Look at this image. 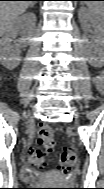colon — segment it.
Masks as SVG:
<instances>
[{
    "label": "colon",
    "mask_w": 104,
    "mask_h": 189,
    "mask_svg": "<svg viewBox=\"0 0 104 189\" xmlns=\"http://www.w3.org/2000/svg\"><path fill=\"white\" fill-rule=\"evenodd\" d=\"M55 147L53 130L49 125H42L37 131V144L28 149V165L32 171L45 169V154ZM77 154L73 149H66L62 152L58 169L64 173L69 172L77 163Z\"/></svg>",
    "instance_id": "obj_1"
}]
</instances>
